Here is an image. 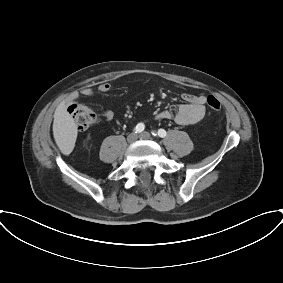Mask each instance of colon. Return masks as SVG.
<instances>
[{
  "label": "colon",
  "mask_w": 283,
  "mask_h": 283,
  "mask_svg": "<svg viewBox=\"0 0 283 283\" xmlns=\"http://www.w3.org/2000/svg\"><path fill=\"white\" fill-rule=\"evenodd\" d=\"M206 102L209 109L213 112H217L221 108L219 100L213 95H209L206 98ZM68 113L79 129H86L96 121L95 114L84 106L71 105L68 108Z\"/></svg>",
  "instance_id": "1"
}]
</instances>
